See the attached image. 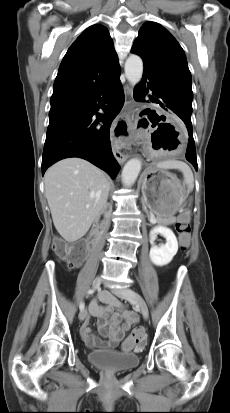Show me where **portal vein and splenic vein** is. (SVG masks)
Returning a JSON list of instances; mask_svg holds the SVG:
<instances>
[{
    "mask_svg": "<svg viewBox=\"0 0 230 413\" xmlns=\"http://www.w3.org/2000/svg\"><path fill=\"white\" fill-rule=\"evenodd\" d=\"M151 222H156V219H152Z\"/></svg>",
    "mask_w": 230,
    "mask_h": 413,
    "instance_id": "18ae733b",
    "label": "portal vein and splenic vein"
}]
</instances>
